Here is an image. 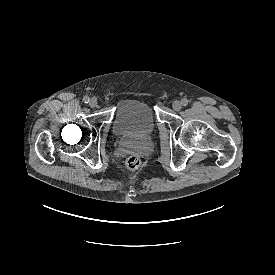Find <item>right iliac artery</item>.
Returning a JSON list of instances; mask_svg holds the SVG:
<instances>
[{"label":"right iliac artery","mask_w":275,"mask_h":275,"mask_svg":"<svg viewBox=\"0 0 275 275\" xmlns=\"http://www.w3.org/2000/svg\"><path fill=\"white\" fill-rule=\"evenodd\" d=\"M83 101H84V103H88V102H89V98L85 96V97L83 98Z\"/></svg>","instance_id":"obj_1"}]
</instances>
